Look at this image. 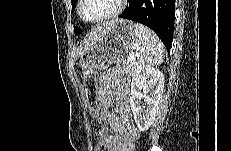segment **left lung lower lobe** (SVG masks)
Segmentation results:
<instances>
[{"mask_svg": "<svg viewBox=\"0 0 231 151\" xmlns=\"http://www.w3.org/2000/svg\"><path fill=\"white\" fill-rule=\"evenodd\" d=\"M175 0H135L126 7L120 18L148 26L170 51L173 40Z\"/></svg>", "mask_w": 231, "mask_h": 151, "instance_id": "obj_1", "label": "left lung lower lobe"}]
</instances>
